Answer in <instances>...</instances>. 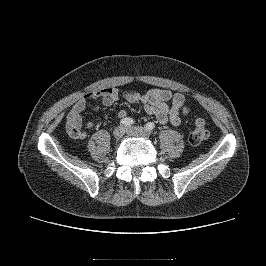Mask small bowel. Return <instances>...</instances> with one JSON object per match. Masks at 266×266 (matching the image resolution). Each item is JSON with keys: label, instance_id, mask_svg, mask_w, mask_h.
<instances>
[{"label": "small bowel", "instance_id": "obj_1", "mask_svg": "<svg viewBox=\"0 0 266 266\" xmlns=\"http://www.w3.org/2000/svg\"><path fill=\"white\" fill-rule=\"evenodd\" d=\"M135 104L141 103L145 111L153 115L161 124L170 122L174 127H180L182 124V116L189 113V108L185 98L180 93H172L166 89H151L145 94L134 92L121 93L117 88L107 87L92 91L73 104L67 114V132L74 139H85L88 129L92 128L95 123L89 122L84 125L82 113L89 108L90 101H100L102 106H110L120 99ZM170 103V105H169ZM100 105H92L90 108L97 111ZM120 118L126 116L124 110L118 113Z\"/></svg>", "mask_w": 266, "mask_h": 266}]
</instances>
